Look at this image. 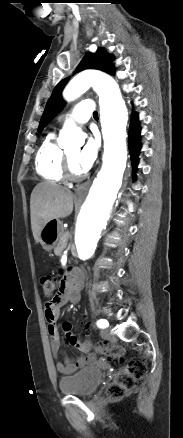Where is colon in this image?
Instances as JSON below:
<instances>
[{
	"label": "colon",
	"instance_id": "colon-1",
	"mask_svg": "<svg viewBox=\"0 0 183 438\" xmlns=\"http://www.w3.org/2000/svg\"><path fill=\"white\" fill-rule=\"evenodd\" d=\"M41 286L45 298L54 296L58 287V280L53 277L41 279ZM97 353L108 356L117 362L124 363L125 351L122 347L110 343L99 342L95 345ZM146 364L141 360H132L125 363L116 374L108 387V393L112 397H121L133 390L138 381L146 375Z\"/></svg>",
	"mask_w": 183,
	"mask_h": 438
}]
</instances>
